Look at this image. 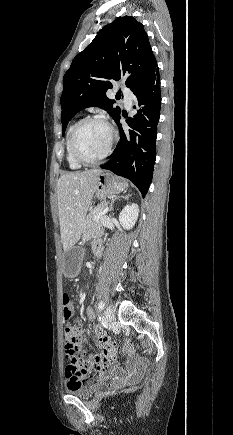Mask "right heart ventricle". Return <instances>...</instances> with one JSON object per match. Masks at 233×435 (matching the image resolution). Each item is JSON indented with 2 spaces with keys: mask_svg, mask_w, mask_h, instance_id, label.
<instances>
[{
  "mask_svg": "<svg viewBox=\"0 0 233 435\" xmlns=\"http://www.w3.org/2000/svg\"><path fill=\"white\" fill-rule=\"evenodd\" d=\"M75 124L76 123H73L67 131L65 146H66L67 165L71 169L77 170V169H80L82 167V165L74 159L72 152H71V146H70V137H71V133H72V130H73Z\"/></svg>",
  "mask_w": 233,
  "mask_h": 435,
  "instance_id": "e07e8e85",
  "label": "right heart ventricle"
}]
</instances>
